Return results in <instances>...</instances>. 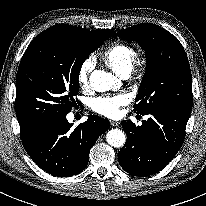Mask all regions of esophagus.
I'll return each instance as SVG.
<instances>
[{
  "label": "esophagus",
  "instance_id": "obj_1",
  "mask_svg": "<svg viewBox=\"0 0 206 206\" xmlns=\"http://www.w3.org/2000/svg\"><path fill=\"white\" fill-rule=\"evenodd\" d=\"M110 123L113 127H117L120 124L118 121H110Z\"/></svg>",
  "mask_w": 206,
  "mask_h": 206
}]
</instances>
